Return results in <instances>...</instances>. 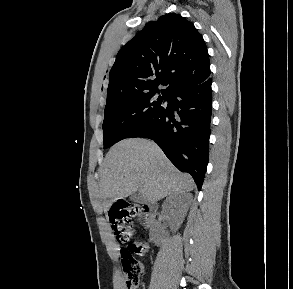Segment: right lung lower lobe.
<instances>
[{
	"label": "right lung lower lobe",
	"mask_w": 293,
	"mask_h": 289,
	"mask_svg": "<svg viewBox=\"0 0 293 289\" xmlns=\"http://www.w3.org/2000/svg\"><path fill=\"white\" fill-rule=\"evenodd\" d=\"M211 78L185 86L166 97L168 105L159 110L128 138L154 140L168 159L189 173L201 189L209 158L212 106Z\"/></svg>",
	"instance_id": "obj_1"
}]
</instances>
